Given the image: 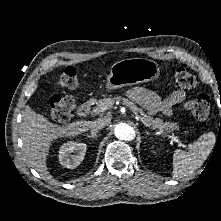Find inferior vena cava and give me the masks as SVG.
I'll return each instance as SVG.
<instances>
[{"mask_svg":"<svg viewBox=\"0 0 221 221\" xmlns=\"http://www.w3.org/2000/svg\"><path fill=\"white\" fill-rule=\"evenodd\" d=\"M105 125L102 121H95L91 127V134H96L100 129L104 128Z\"/></svg>","mask_w":221,"mask_h":221,"instance_id":"obj_1","label":"inferior vena cava"}]
</instances>
